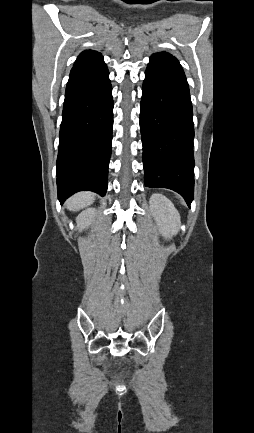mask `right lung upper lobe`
Segmentation results:
<instances>
[{
	"mask_svg": "<svg viewBox=\"0 0 254 433\" xmlns=\"http://www.w3.org/2000/svg\"><path fill=\"white\" fill-rule=\"evenodd\" d=\"M100 58H102V56L99 52L87 50V51L82 52L78 56L77 60L74 63V66L85 64V63H90V62L96 61Z\"/></svg>",
	"mask_w": 254,
	"mask_h": 433,
	"instance_id": "right-lung-upper-lobe-1",
	"label": "right lung upper lobe"
}]
</instances>
